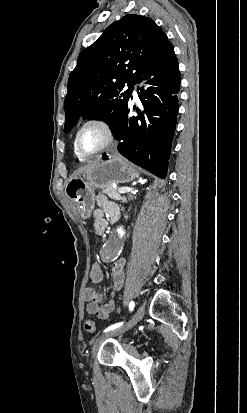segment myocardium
<instances>
[{
    "label": "myocardium",
    "mask_w": 247,
    "mask_h": 413,
    "mask_svg": "<svg viewBox=\"0 0 247 413\" xmlns=\"http://www.w3.org/2000/svg\"><path fill=\"white\" fill-rule=\"evenodd\" d=\"M89 127L102 128V129H105V131L107 133L106 141L103 143V145L100 148H98L97 150H95L93 152L84 151L81 148L80 142H79V138H80V135H81L82 131L85 130L86 128H89ZM116 139H117V132H116L115 127L111 123H109L108 121H106L104 119L93 118V119H90V120L86 121L77 130L76 135H75V139H74V145H75V148H76L77 152L79 153V155H81L85 159H91V158H94V157L100 155L105 150L110 148L116 142Z\"/></svg>",
    "instance_id": "myocardium-1"
}]
</instances>
